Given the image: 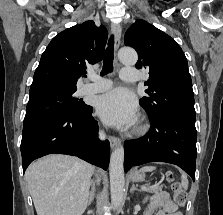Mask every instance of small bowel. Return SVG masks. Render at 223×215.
<instances>
[{
  "label": "small bowel",
  "instance_id": "small-bowel-1",
  "mask_svg": "<svg viewBox=\"0 0 223 215\" xmlns=\"http://www.w3.org/2000/svg\"><path fill=\"white\" fill-rule=\"evenodd\" d=\"M156 210V215H182L166 191L157 192L150 198L147 214L151 215Z\"/></svg>",
  "mask_w": 223,
  "mask_h": 215
}]
</instances>
